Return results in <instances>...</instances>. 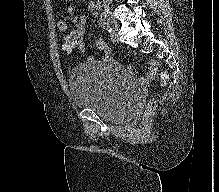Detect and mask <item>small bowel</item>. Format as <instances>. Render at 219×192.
Listing matches in <instances>:
<instances>
[{
  "mask_svg": "<svg viewBox=\"0 0 219 192\" xmlns=\"http://www.w3.org/2000/svg\"><path fill=\"white\" fill-rule=\"evenodd\" d=\"M90 10H94L95 5L90 3L89 5ZM71 23L74 26V29L68 32L64 37V48L66 51L71 52L68 48V41H73V48L74 50H78L82 53L86 50L85 45V25H86V17L84 14L80 15H72L71 16ZM95 47L101 52L100 61L101 62H110V51L109 47L106 44L103 37L99 36L94 39ZM73 51V50H72ZM89 60H93L92 57H89ZM126 69L128 71L132 70L131 66H127ZM158 69V63L155 60L149 61L148 64V72L143 77V81L150 82L154 79L156 72Z\"/></svg>",
  "mask_w": 219,
  "mask_h": 192,
  "instance_id": "c3829d8e",
  "label": "small bowel"
}]
</instances>
